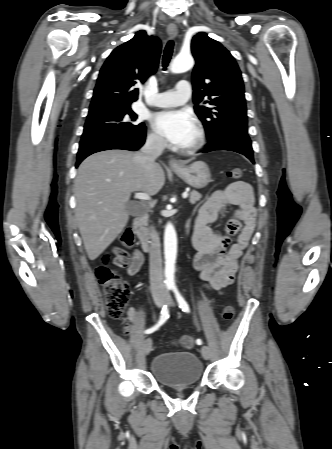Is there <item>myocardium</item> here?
<instances>
[{
    "label": "myocardium",
    "mask_w": 332,
    "mask_h": 449,
    "mask_svg": "<svg viewBox=\"0 0 332 449\" xmlns=\"http://www.w3.org/2000/svg\"><path fill=\"white\" fill-rule=\"evenodd\" d=\"M205 143V133L201 127H197L195 130V137L193 141L183 148V152L185 153H194L201 149Z\"/></svg>",
    "instance_id": "f54148a6"
}]
</instances>
